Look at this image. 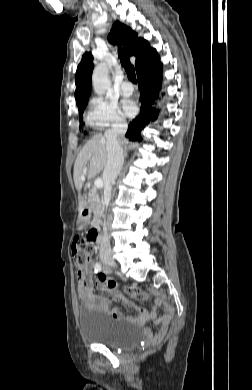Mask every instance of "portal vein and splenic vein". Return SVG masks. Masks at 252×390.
I'll return each mask as SVG.
<instances>
[{
  "instance_id": "1",
  "label": "portal vein and splenic vein",
  "mask_w": 252,
  "mask_h": 390,
  "mask_svg": "<svg viewBox=\"0 0 252 390\" xmlns=\"http://www.w3.org/2000/svg\"><path fill=\"white\" fill-rule=\"evenodd\" d=\"M94 186H95V188H97V189L102 188V187H103V181H102V179L97 178V179L94 181Z\"/></svg>"
}]
</instances>
